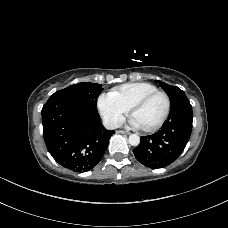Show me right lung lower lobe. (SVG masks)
<instances>
[{
  "mask_svg": "<svg viewBox=\"0 0 228 228\" xmlns=\"http://www.w3.org/2000/svg\"><path fill=\"white\" fill-rule=\"evenodd\" d=\"M41 113L45 144L59 164L85 172L101 160L114 131L103 127L96 106L51 96Z\"/></svg>",
  "mask_w": 228,
  "mask_h": 228,
  "instance_id": "obj_1",
  "label": "right lung lower lobe"
}]
</instances>
